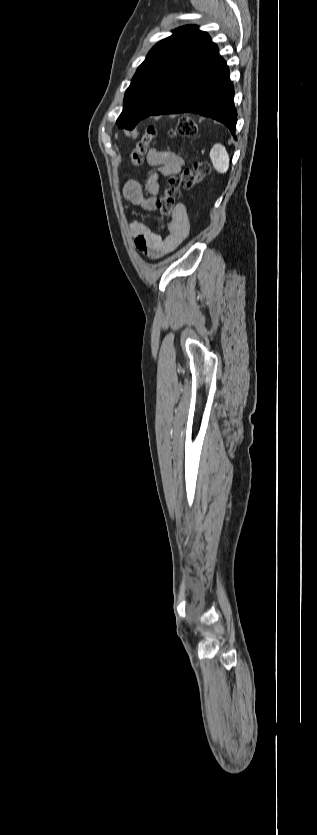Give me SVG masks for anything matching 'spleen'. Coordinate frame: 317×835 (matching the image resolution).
Wrapping results in <instances>:
<instances>
[{
	"mask_svg": "<svg viewBox=\"0 0 317 835\" xmlns=\"http://www.w3.org/2000/svg\"><path fill=\"white\" fill-rule=\"evenodd\" d=\"M210 158L214 169L218 173L224 174L228 171L230 159L226 148L222 144L216 143L212 146L210 150Z\"/></svg>",
	"mask_w": 317,
	"mask_h": 835,
	"instance_id": "spleen-1",
	"label": "spleen"
}]
</instances>
